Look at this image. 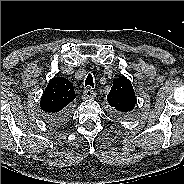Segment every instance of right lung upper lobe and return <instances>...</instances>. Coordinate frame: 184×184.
I'll return each instance as SVG.
<instances>
[{
	"mask_svg": "<svg viewBox=\"0 0 184 184\" xmlns=\"http://www.w3.org/2000/svg\"><path fill=\"white\" fill-rule=\"evenodd\" d=\"M75 97L73 84L64 77H56L49 81L44 90L40 107L46 115H54L67 110Z\"/></svg>",
	"mask_w": 184,
	"mask_h": 184,
	"instance_id": "right-lung-upper-lobe-1",
	"label": "right lung upper lobe"
}]
</instances>
